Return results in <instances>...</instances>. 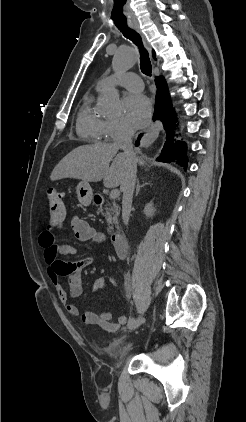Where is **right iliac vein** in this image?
<instances>
[{
    "instance_id": "1",
    "label": "right iliac vein",
    "mask_w": 246,
    "mask_h": 422,
    "mask_svg": "<svg viewBox=\"0 0 246 422\" xmlns=\"http://www.w3.org/2000/svg\"><path fill=\"white\" fill-rule=\"evenodd\" d=\"M145 322V318L143 317V316H140L137 320H136V322H135V324H134V326L132 327L133 329H137V328H139L143 323Z\"/></svg>"
}]
</instances>
